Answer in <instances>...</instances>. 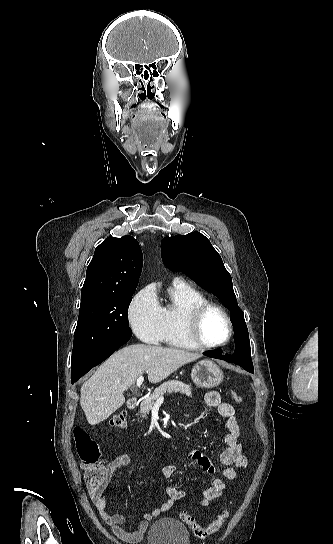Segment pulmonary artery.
<instances>
[{"label": "pulmonary artery", "mask_w": 333, "mask_h": 544, "mask_svg": "<svg viewBox=\"0 0 333 544\" xmlns=\"http://www.w3.org/2000/svg\"><path fill=\"white\" fill-rule=\"evenodd\" d=\"M181 282H184L181 278H175L173 283H181Z\"/></svg>", "instance_id": "e3ab8cb5"}]
</instances>
